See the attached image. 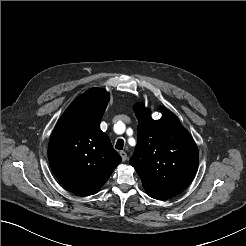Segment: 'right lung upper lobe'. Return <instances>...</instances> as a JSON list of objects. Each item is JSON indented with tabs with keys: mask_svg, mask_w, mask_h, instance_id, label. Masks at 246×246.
Segmentation results:
<instances>
[{
	"mask_svg": "<svg viewBox=\"0 0 246 246\" xmlns=\"http://www.w3.org/2000/svg\"><path fill=\"white\" fill-rule=\"evenodd\" d=\"M108 101L105 90H87L60 117L49 141L48 158L54 174L81 196L97 193L122 160L100 129Z\"/></svg>",
	"mask_w": 246,
	"mask_h": 246,
	"instance_id": "obj_1",
	"label": "right lung upper lobe"
}]
</instances>
